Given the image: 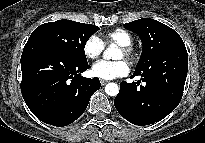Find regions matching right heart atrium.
Listing matches in <instances>:
<instances>
[{
    "instance_id": "1",
    "label": "right heart atrium",
    "mask_w": 205,
    "mask_h": 143,
    "mask_svg": "<svg viewBox=\"0 0 205 143\" xmlns=\"http://www.w3.org/2000/svg\"><path fill=\"white\" fill-rule=\"evenodd\" d=\"M104 44L96 35L89 36L83 44V53L86 58L95 60L103 53Z\"/></svg>"
}]
</instances>
